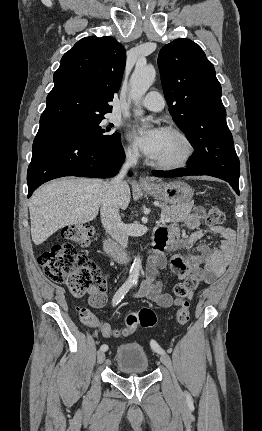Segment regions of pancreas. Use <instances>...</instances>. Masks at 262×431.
Segmentation results:
<instances>
[{
  "label": "pancreas",
  "mask_w": 262,
  "mask_h": 431,
  "mask_svg": "<svg viewBox=\"0 0 262 431\" xmlns=\"http://www.w3.org/2000/svg\"><path fill=\"white\" fill-rule=\"evenodd\" d=\"M191 205L167 206L161 204L162 213L169 217L171 223L183 222L191 211Z\"/></svg>",
  "instance_id": "obj_1"
}]
</instances>
